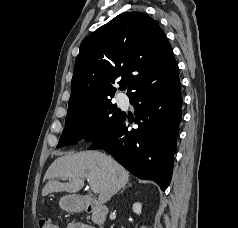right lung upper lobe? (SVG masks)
<instances>
[{"instance_id":"right-lung-upper-lobe-1","label":"right lung upper lobe","mask_w":238,"mask_h":228,"mask_svg":"<svg viewBox=\"0 0 238 228\" xmlns=\"http://www.w3.org/2000/svg\"><path fill=\"white\" fill-rule=\"evenodd\" d=\"M176 75L172 47L158 22L140 12H124L82 41L68 109L110 100L115 82L128 85L130 98Z\"/></svg>"}]
</instances>
